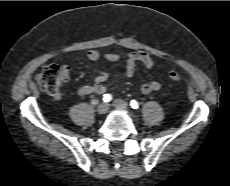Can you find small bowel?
Here are the masks:
<instances>
[{"instance_id": "1", "label": "small bowel", "mask_w": 230, "mask_h": 186, "mask_svg": "<svg viewBox=\"0 0 230 186\" xmlns=\"http://www.w3.org/2000/svg\"><path fill=\"white\" fill-rule=\"evenodd\" d=\"M87 59L96 62L100 59H105L109 62H117L121 59V55L117 53H100L97 50H89L86 54ZM141 63L146 68H151L154 65L153 57L144 51H134L126 55V68H125V77L131 78L136 69V64ZM62 79L64 82L69 81V67L64 65L62 67ZM108 74L102 69H97L94 72V82L91 84H84L80 86L77 90L78 95L80 96H89L93 94H103L108 90L107 85ZM162 83L158 80H148L141 85V92L143 94H150L152 92L158 91L161 89ZM60 98L61 95L56 96Z\"/></svg>"}]
</instances>
